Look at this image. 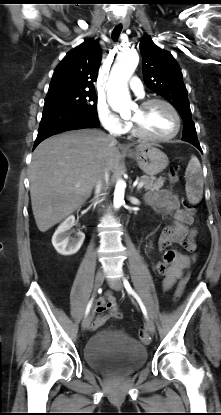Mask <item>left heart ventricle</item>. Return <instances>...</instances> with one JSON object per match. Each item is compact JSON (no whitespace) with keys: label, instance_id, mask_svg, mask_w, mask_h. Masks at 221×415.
<instances>
[{"label":"left heart ventricle","instance_id":"left-heart-ventricle-1","mask_svg":"<svg viewBox=\"0 0 221 415\" xmlns=\"http://www.w3.org/2000/svg\"><path fill=\"white\" fill-rule=\"evenodd\" d=\"M131 119L139 122L147 133L155 136L169 135L176 126L172 112L160 103H155L146 109L137 107Z\"/></svg>","mask_w":221,"mask_h":415}]
</instances>
